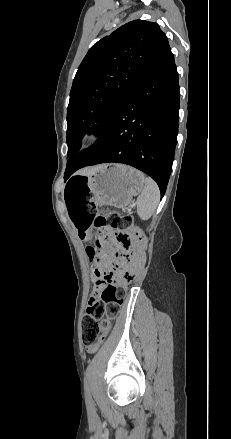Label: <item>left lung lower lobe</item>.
<instances>
[{
	"mask_svg": "<svg viewBox=\"0 0 231 439\" xmlns=\"http://www.w3.org/2000/svg\"><path fill=\"white\" fill-rule=\"evenodd\" d=\"M179 102L177 67L170 51L126 95L97 143L68 160V175L85 166L123 163L153 178L163 197L177 144Z\"/></svg>",
	"mask_w": 231,
	"mask_h": 439,
	"instance_id": "1",
	"label": "left lung lower lobe"
}]
</instances>
